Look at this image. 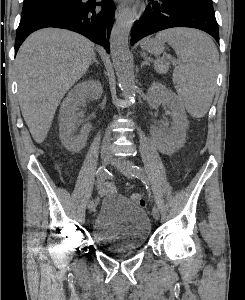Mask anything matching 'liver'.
I'll return each mask as SVG.
<instances>
[{
	"instance_id": "6515ba94",
	"label": "liver",
	"mask_w": 245,
	"mask_h": 300,
	"mask_svg": "<svg viewBox=\"0 0 245 300\" xmlns=\"http://www.w3.org/2000/svg\"><path fill=\"white\" fill-rule=\"evenodd\" d=\"M94 57L91 41L64 29L36 31L21 45L15 61L19 103L37 143L46 138L62 98Z\"/></svg>"
}]
</instances>
